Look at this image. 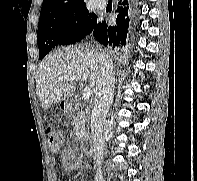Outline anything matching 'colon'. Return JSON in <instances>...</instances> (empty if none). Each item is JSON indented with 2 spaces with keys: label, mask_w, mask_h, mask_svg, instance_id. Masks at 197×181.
Masks as SVG:
<instances>
[{
  "label": "colon",
  "mask_w": 197,
  "mask_h": 181,
  "mask_svg": "<svg viewBox=\"0 0 197 181\" xmlns=\"http://www.w3.org/2000/svg\"><path fill=\"white\" fill-rule=\"evenodd\" d=\"M46 141L48 146L51 150L57 151L59 149V146L61 145L62 138L57 131V129L53 126H48L46 128Z\"/></svg>",
  "instance_id": "5ec220e1"
}]
</instances>
